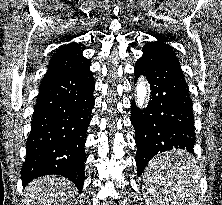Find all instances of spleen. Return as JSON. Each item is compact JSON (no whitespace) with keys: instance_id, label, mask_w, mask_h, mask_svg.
Masks as SVG:
<instances>
[{"instance_id":"3e777b00","label":"spleen","mask_w":222,"mask_h":205,"mask_svg":"<svg viewBox=\"0 0 222 205\" xmlns=\"http://www.w3.org/2000/svg\"><path fill=\"white\" fill-rule=\"evenodd\" d=\"M148 205H203L199 173L184 154L156 156L143 174Z\"/></svg>"}]
</instances>
